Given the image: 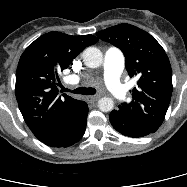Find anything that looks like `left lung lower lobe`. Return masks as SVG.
<instances>
[{
  "instance_id": "obj_1",
  "label": "left lung lower lobe",
  "mask_w": 187,
  "mask_h": 187,
  "mask_svg": "<svg viewBox=\"0 0 187 187\" xmlns=\"http://www.w3.org/2000/svg\"><path fill=\"white\" fill-rule=\"evenodd\" d=\"M111 125L113 128L120 132L121 134L128 137H143L150 133H154L144 126L136 123L135 121L129 119L122 112L118 110H113L109 116Z\"/></svg>"
}]
</instances>
